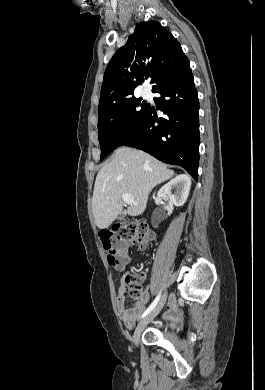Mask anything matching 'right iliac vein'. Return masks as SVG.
<instances>
[{
	"label": "right iliac vein",
	"instance_id": "right-iliac-vein-1",
	"mask_svg": "<svg viewBox=\"0 0 265 390\" xmlns=\"http://www.w3.org/2000/svg\"><path fill=\"white\" fill-rule=\"evenodd\" d=\"M167 294H164L159 301V303L155 306V308L147 315L145 316L137 325L134 334H133V342L136 346L139 344L140 336L144 328L148 323H150L161 311L163 308L165 302H166Z\"/></svg>",
	"mask_w": 265,
	"mask_h": 390
}]
</instances>
